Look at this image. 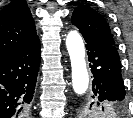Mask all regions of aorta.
<instances>
[{
  "label": "aorta",
  "mask_w": 133,
  "mask_h": 118,
  "mask_svg": "<svg viewBox=\"0 0 133 118\" xmlns=\"http://www.w3.org/2000/svg\"><path fill=\"white\" fill-rule=\"evenodd\" d=\"M66 47L71 61L73 90L77 95H83L89 86V74L81 35L76 31L69 32L66 37Z\"/></svg>",
  "instance_id": "1"
}]
</instances>
